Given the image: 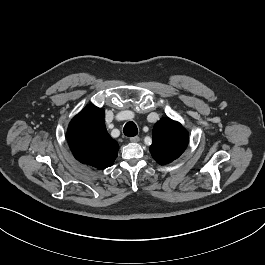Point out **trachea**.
Returning a JSON list of instances; mask_svg holds the SVG:
<instances>
[{"mask_svg": "<svg viewBox=\"0 0 265 265\" xmlns=\"http://www.w3.org/2000/svg\"><path fill=\"white\" fill-rule=\"evenodd\" d=\"M123 132L128 137H134L138 134V128L134 122L130 121L125 124Z\"/></svg>", "mask_w": 265, "mask_h": 265, "instance_id": "obj_1", "label": "trachea"}]
</instances>
